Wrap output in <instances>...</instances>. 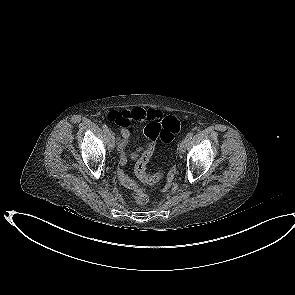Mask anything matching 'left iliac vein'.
<instances>
[{"instance_id": "left-iliac-vein-1", "label": "left iliac vein", "mask_w": 295, "mask_h": 295, "mask_svg": "<svg viewBox=\"0 0 295 295\" xmlns=\"http://www.w3.org/2000/svg\"><path fill=\"white\" fill-rule=\"evenodd\" d=\"M189 140L187 138L183 139L182 142L179 145V152L182 154L185 152L187 146H188Z\"/></svg>"}]
</instances>
